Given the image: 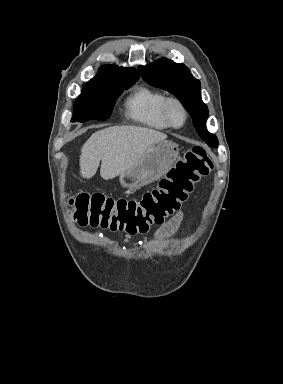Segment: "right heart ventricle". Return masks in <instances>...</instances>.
<instances>
[{
    "label": "right heart ventricle",
    "instance_id": "obj_1",
    "mask_svg": "<svg viewBox=\"0 0 283 384\" xmlns=\"http://www.w3.org/2000/svg\"><path fill=\"white\" fill-rule=\"evenodd\" d=\"M167 95L144 84L135 85L123 102L125 115L140 126L155 131L169 127L161 118L160 110Z\"/></svg>",
    "mask_w": 283,
    "mask_h": 384
}]
</instances>
